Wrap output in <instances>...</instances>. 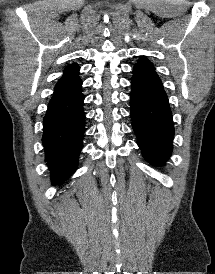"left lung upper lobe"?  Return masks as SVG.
I'll use <instances>...</instances> for the list:
<instances>
[{
    "label": "left lung upper lobe",
    "instance_id": "obj_1",
    "mask_svg": "<svg viewBox=\"0 0 215 274\" xmlns=\"http://www.w3.org/2000/svg\"><path fill=\"white\" fill-rule=\"evenodd\" d=\"M135 65L154 70L153 64L144 56L140 57V59L138 60V63Z\"/></svg>",
    "mask_w": 215,
    "mask_h": 274
}]
</instances>
